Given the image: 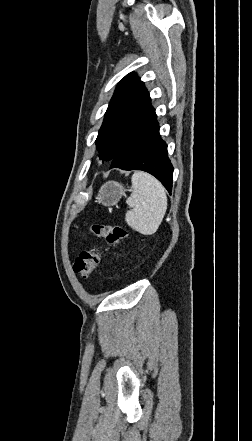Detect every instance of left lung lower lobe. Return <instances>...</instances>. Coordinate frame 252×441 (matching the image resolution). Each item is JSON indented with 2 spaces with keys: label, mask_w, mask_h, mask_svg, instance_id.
I'll return each mask as SVG.
<instances>
[{
  "label": "left lung lower lobe",
  "mask_w": 252,
  "mask_h": 441,
  "mask_svg": "<svg viewBox=\"0 0 252 441\" xmlns=\"http://www.w3.org/2000/svg\"><path fill=\"white\" fill-rule=\"evenodd\" d=\"M111 167L146 171L171 193L173 167L167 145L160 137L157 116L150 100L126 133Z\"/></svg>",
  "instance_id": "obj_1"
}]
</instances>
